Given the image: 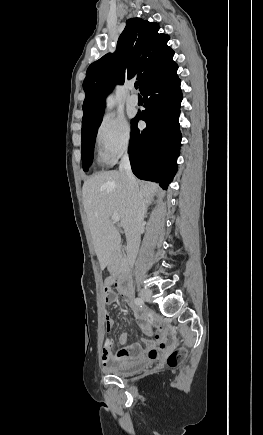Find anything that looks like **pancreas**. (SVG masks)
<instances>
[{
    "mask_svg": "<svg viewBox=\"0 0 263 435\" xmlns=\"http://www.w3.org/2000/svg\"><path fill=\"white\" fill-rule=\"evenodd\" d=\"M109 266L112 270H118V269H122L123 266V259L122 256L119 252L114 253L111 257Z\"/></svg>",
    "mask_w": 263,
    "mask_h": 435,
    "instance_id": "1",
    "label": "pancreas"
}]
</instances>
